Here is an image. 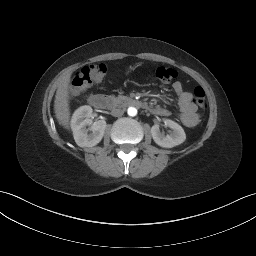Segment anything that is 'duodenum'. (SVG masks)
Here are the masks:
<instances>
[{"mask_svg":"<svg viewBox=\"0 0 256 256\" xmlns=\"http://www.w3.org/2000/svg\"><path fill=\"white\" fill-rule=\"evenodd\" d=\"M89 104L95 109H103L108 105V99L106 96L101 94H92L89 96ZM127 104L140 108H148V104L139 99L131 98L126 101Z\"/></svg>","mask_w":256,"mask_h":256,"instance_id":"1","label":"duodenum"}]
</instances>
